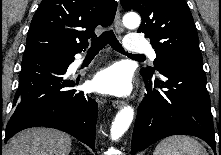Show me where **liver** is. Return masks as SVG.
<instances>
[{
  "label": "liver",
  "instance_id": "1",
  "mask_svg": "<svg viewBox=\"0 0 221 155\" xmlns=\"http://www.w3.org/2000/svg\"><path fill=\"white\" fill-rule=\"evenodd\" d=\"M71 138L50 128H30L12 137L4 155H69Z\"/></svg>",
  "mask_w": 221,
  "mask_h": 155
}]
</instances>
